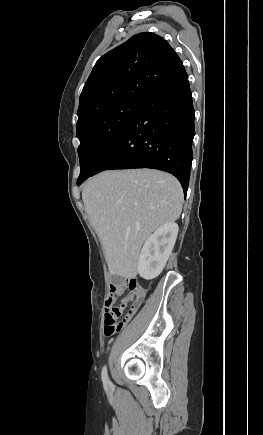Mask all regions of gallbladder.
Returning a JSON list of instances; mask_svg holds the SVG:
<instances>
[{"label":"gallbladder","instance_id":"1","mask_svg":"<svg viewBox=\"0 0 263 435\" xmlns=\"http://www.w3.org/2000/svg\"><path fill=\"white\" fill-rule=\"evenodd\" d=\"M123 281V279L117 275L112 276V283L118 285Z\"/></svg>","mask_w":263,"mask_h":435}]
</instances>
